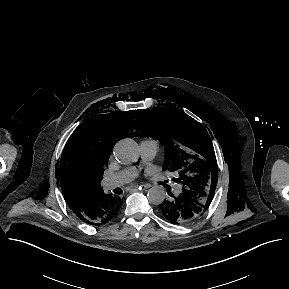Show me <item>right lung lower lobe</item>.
<instances>
[{
    "instance_id": "1",
    "label": "right lung lower lobe",
    "mask_w": 289,
    "mask_h": 289,
    "mask_svg": "<svg viewBox=\"0 0 289 289\" xmlns=\"http://www.w3.org/2000/svg\"><path fill=\"white\" fill-rule=\"evenodd\" d=\"M122 201L123 199L119 196H110L101 192L84 210L75 214L88 224L101 225L117 214Z\"/></svg>"
}]
</instances>
